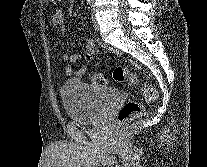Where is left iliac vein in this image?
<instances>
[{"label":"left iliac vein","instance_id":"1","mask_svg":"<svg viewBox=\"0 0 207 167\" xmlns=\"http://www.w3.org/2000/svg\"><path fill=\"white\" fill-rule=\"evenodd\" d=\"M92 23H93V27L95 30H98L99 26H98V22L97 19L94 15H92Z\"/></svg>","mask_w":207,"mask_h":167}]
</instances>
